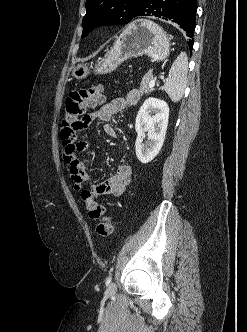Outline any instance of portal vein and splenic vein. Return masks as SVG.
I'll use <instances>...</instances> for the list:
<instances>
[{"instance_id": "portal-vein-and-splenic-vein-1", "label": "portal vein and splenic vein", "mask_w": 247, "mask_h": 332, "mask_svg": "<svg viewBox=\"0 0 247 332\" xmlns=\"http://www.w3.org/2000/svg\"><path fill=\"white\" fill-rule=\"evenodd\" d=\"M155 82H156V79H152L150 82H149V88H153L155 86Z\"/></svg>"}]
</instances>
